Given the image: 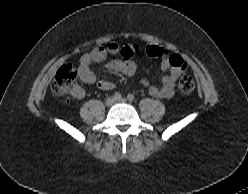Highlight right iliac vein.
<instances>
[{"instance_id": "63e3f726", "label": "right iliac vein", "mask_w": 248, "mask_h": 194, "mask_svg": "<svg viewBox=\"0 0 248 194\" xmlns=\"http://www.w3.org/2000/svg\"><path fill=\"white\" fill-rule=\"evenodd\" d=\"M114 102H115V99L113 97H108L105 101V105L110 107L114 104Z\"/></svg>"}]
</instances>
